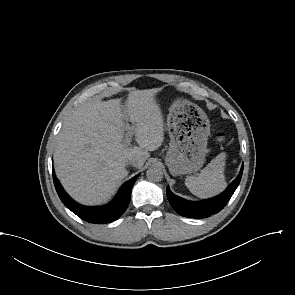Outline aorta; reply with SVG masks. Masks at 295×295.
<instances>
[{
    "label": "aorta",
    "instance_id": "aorta-1",
    "mask_svg": "<svg viewBox=\"0 0 295 295\" xmlns=\"http://www.w3.org/2000/svg\"><path fill=\"white\" fill-rule=\"evenodd\" d=\"M146 176L150 181L159 182L163 178L162 170L156 166L149 167Z\"/></svg>",
    "mask_w": 295,
    "mask_h": 295
}]
</instances>
